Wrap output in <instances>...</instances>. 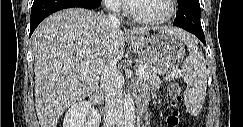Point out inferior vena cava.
<instances>
[{
    "label": "inferior vena cava",
    "mask_w": 243,
    "mask_h": 127,
    "mask_svg": "<svg viewBox=\"0 0 243 127\" xmlns=\"http://www.w3.org/2000/svg\"><path fill=\"white\" fill-rule=\"evenodd\" d=\"M118 0H107L106 9L111 11L108 14L110 23L120 25L119 19L115 15L118 8ZM116 61L109 60V65L102 73L101 87L105 91V125L106 127H123L124 116L122 106V76L116 68Z\"/></svg>",
    "instance_id": "1"
}]
</instances>
